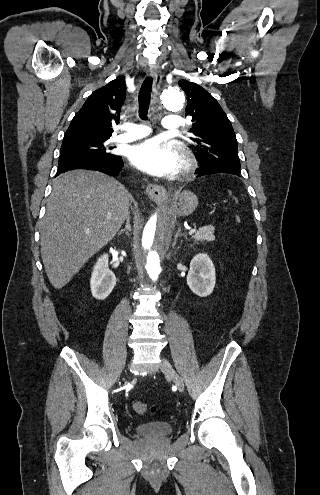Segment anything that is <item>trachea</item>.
I'll return each instance as SVG.
<instances>
[{"label": "trachea", "instance_id": "trachea-1", "mask_svg": "<svg viewBox=\"0 0 320 495\" xmlns=\"http://www.w3.org/2000/svg\"><path fill=\"white\" fill-rule=\"evenodd\" d=\"M152 78L147 77L139 92V117L143 120L148 119L147 113L150 103V92H151Z\"/></svg>", "mask_w": 320, "mask_h": 495}]
</instances>
